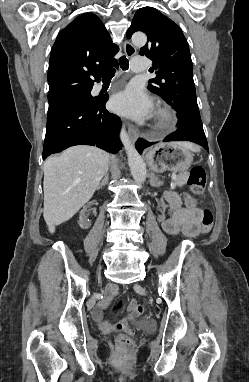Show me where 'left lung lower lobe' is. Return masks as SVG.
<instances>
[{
    "mask_svg": "<svg viewBox=\"0 0 249 382\" xmlns=\"http://www.w3.org/2000/svg\"><path fill=\"white\" fill-rule=\"evenodd\" d=\"M178 129L171 135L163 139V142L186 140L197 143L208 150V144L202 126L200 116L196 115H183L178 116ZM154 143L148 142L144 139H139L136 142V148L139 153L143 149Z\"/></svg>",
    "mask_w": 249,
    "mask_h": 382,
    "instance_id": "0a47b994",
    "label": "left lung lower lobe"
}]
</instances>
